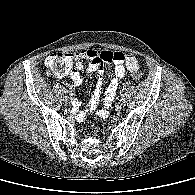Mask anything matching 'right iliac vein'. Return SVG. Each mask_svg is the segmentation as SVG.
Returning <instances> with one entry per match:
<instances>
[{
	"label": "right iliac vein",
	"mask_w": 195,
	"mask_h": 195,
	"mask_svg": "<svg viewBox=\"0 0 195 195\" xmlns=\"http://www.w3.org/2000/svg\"><path fill=\"white\" fill-rule=\"evenodd\" d=\"M63 101H64V104H65V105H68L69 102H70V98H69L68 96H65V97L63 98Z\"/></svg>",
	"instance_id": "1"
}]
</instances>
